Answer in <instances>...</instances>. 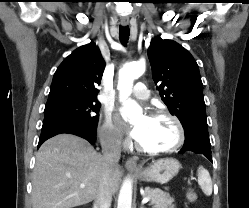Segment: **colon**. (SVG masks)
Instances as JSON below:
<instances>
[{
  "label": "colon",
  "mask_w": 249,
  "mask_h": 208,
  "mask_svg": "<svg viewBox=\"0 0 249 208\" xmlns=\"http://www.w3.org/2000/svg\"><path fill=\"white\" fill-rule=\"evenodd\" d=\"M186 195H187V199L189 200V202H192V203L196 202L198 196H197V192L194 189L192 188L188 189Z\"/></svg>",
  "instance_id": "obj_1"
}]
</instances>
